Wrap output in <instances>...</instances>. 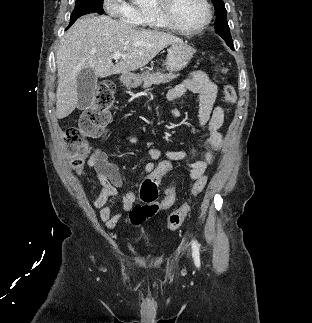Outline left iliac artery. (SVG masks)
<instances>
[{
    "label": "left iliac artery",
    "mask_w": 312,
    "mask_h": 323,
    "mask_svg": "<svg viewBox=\"0 0 312 323\" xmlns=\"http://www.w3.org/2000/svg\"><path fill=\"white\" fill-rule=\"evenodd\" d=\"M192 250H193L192 255L194 257L195 263H196L197 266H199V264H200L199 244L195 240H192Z\"/></svg>",
    "instance_id": "left-iliac-artery-1"
}]
</instances>
